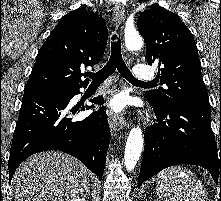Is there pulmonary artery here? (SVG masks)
Instances as JSON below:
<instances>
[{
    "mask_svg": "<svg viewBox=\"0 0 221 201\" xmlns=\"http://www.w3.org/2000/svg\"><path fill=\"white\" fill-rule=\"evenodd\" d=\"M133 76L138 81H147L154 78V72L150 67L138 64L133 69Z\"/></svg>",
    "mask_w": 221,
    "mask_h": 201,
    "instance_id": "1",
    "label": "pulmonary artery"
}]
</instances>
